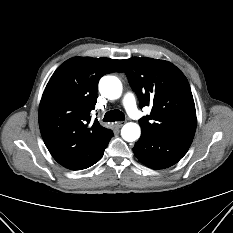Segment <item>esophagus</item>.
<instances>
[{
	"label": "esophagus",
	"mask_w": 233,
	"mask_h": 233,
	"mask_svg": "<svg viewBox=\"0 0 233 233\" xmlns=\"http://www.w3.org/2000/svg\"><path fill=\"white\" fill-rule=\"evenodd\" d=\"M118 127H122L125 124V121H120L116 123Z\"/></svg>",
	"instance_id": "obj_1"
}]
</instances>
